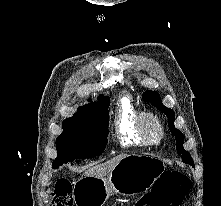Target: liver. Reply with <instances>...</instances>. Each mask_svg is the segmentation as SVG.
Returning a JSON list of instances; mask_svg holds the SVG:
<instances>
[{
	"label": "liver",
	"mask_w": 221,
	"mask_h": 206,
	"mask_svg": "<svg viewBox=\"0 0 221 206\" xmlns=\"http://www.w3.org/2000/svg\"><path fill=\"white\" fill-rule=\"evenodd\" d=\"M127 155H118L109 161L95 165L93 167L88 168L84 175L86 176H92V177H98L103 178L110 174V172L114 169V167L117 165V163L125 158Z\"/></svg>",
	"instance_id": "liver-1"
}]
</instances>
